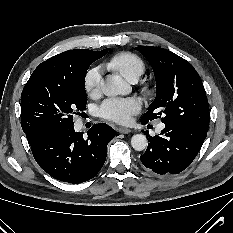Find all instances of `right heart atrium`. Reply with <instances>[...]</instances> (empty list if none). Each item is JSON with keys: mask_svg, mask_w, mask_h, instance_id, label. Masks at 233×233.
<instances>
[{"mask_svg": "<svg viewBox=\"0 0 233 233\" xmlns=\"http://www.w3.org/2000/svg\"><path fill=\"white\" fill-rule=\"evenodd\" d=\"M102 71L99 67L91 68L84 79V86L86 92L90 96H96L100 92Z\"/></svg>", "mask_w": 233, "mask_h": 233, "instance_id": "right-heart-atrium-1", "label": "right heart atrium"}]
</instances>
